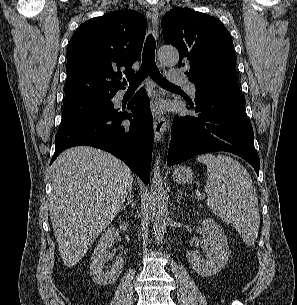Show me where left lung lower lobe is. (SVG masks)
I'll list each match as a JSON object with an SVG mask.
<instances>
[{
    "label": "left lung lower lobe",
    "instance_id": "obj_1",
    "mask_svg": "<svg viewBox=\"0 0 297 305\" xmlns=\"http://www.w3.org/2000/svg\"><path fill=\"white\" fill-rule=\"evenodd\" d=\"M187 108L198 115L175 116L167 166L195 155L227 151L249 162L259 174L253 128L245 115V101L237 81L196 91L195 103H189Z\"/></svg>",
    "mask_w": 297,
    "mask_h": 305
}]
</instances>
